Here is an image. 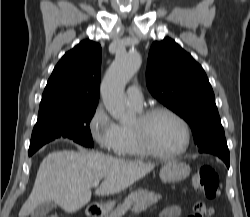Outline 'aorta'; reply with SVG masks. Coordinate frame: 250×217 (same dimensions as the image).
<instances>
[{
    "instance_id": "obj_1",
    "label": "aorta",
    "mask_w": 250,
    "mask_h": 217,
    "mask_svg": "<svg viewBox=\"0 0 250 217\" xmlns=\"http://www.w3.org/2000/svg\"><path fill=\"white\" fill-rule=\"evenodd\" d=\"M141 65L136 52L118 54L101 83V96L109 114L121 123H128L132 115L126 110L124 89Z\"/></svg>"
}]
</instances>
